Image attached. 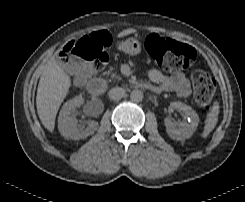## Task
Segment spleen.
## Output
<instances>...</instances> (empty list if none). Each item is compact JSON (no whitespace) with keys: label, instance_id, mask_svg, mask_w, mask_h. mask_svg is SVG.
<instances>
[{"label":"spleen","instance_id":"spleen-1","mask_svg":"<svg viewBox=\"0 0 245 202\" xmlns=\"http://www.w3.org/2000/svg\"><path fill=\"white\" fill-rule=\"evenodd\" d=\"M218 114H219V103L215 102L211 111L207 114L205 120V126L202 133V137H207L210 132L215 128L217 121H218Z\"/></svg>","mask_w":245,"mask_h":202}]
</instances>
